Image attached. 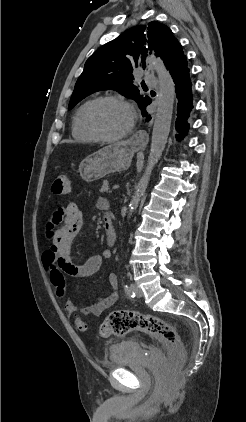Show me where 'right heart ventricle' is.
Masks as SVG:
<instances>
[{
  "label": "right heart ventricle",
  "instance_id": "1",
  "mask_svg": "<svg viewBox=\"0 0 246 422\" xmlns=\"http://www.w3.org/2000/svg\"><path fill=\"white\" fill-rule=\"evenodd\" d=\"M92 100H88L84 102L75 112L73 121H72V135L73 137L80 141L85 143H92L95 142L96 139L87 131L84 125V112L88 104Z\"/></svg>",
  "mask_w": 246,
  "mask_h": 422
}]
</instances>
